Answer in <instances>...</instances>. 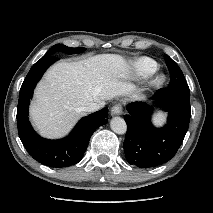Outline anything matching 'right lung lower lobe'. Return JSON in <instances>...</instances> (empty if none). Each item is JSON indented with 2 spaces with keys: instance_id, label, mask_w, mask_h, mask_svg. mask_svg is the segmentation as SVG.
Listing matches in <instances>:
<instances>
[{
  "instance_id": "1",
  "label": "right lung lower lobe",
  "mask_w": 213,
  "mask_h": 213,
  "mask_svg": "<svg viewBox=\"0 0 213 213\" xmlns=\"http://www.w3.org/2000/svg\"><path fill=\"white\" fill-rule=\"evenodd\" d=\"M57 60L54 55L42 57L30 69L20 89L17 126L24 147L35 160L50 167H66L82 159L93 132L107 123L108 108L82 118L64 139L48 140L40 137L28 120V106L36 83L45 70Z\"/></svg>"
}]
</instances>
